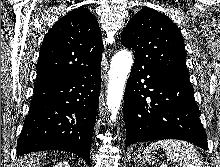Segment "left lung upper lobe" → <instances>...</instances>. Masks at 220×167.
Returning <instances> with one entry per match:
<instances>
[{"mask_svg": "<svg viewBox=\"0 0 220 167\" xmlns=\"http://www.w3.org/2000/svg\"><path fill=\"white\" fill-rule=\"evenodd\" d=\"M121 43L133 49L134 63L189 77L182 34L164 14L151 8L141 9L126 25Z\"/></svg>", "mask_w": 220, "mask_h": 167, "instance_id": "5c2ea615", "label": "left lung upper lobe"}]
</instances>
